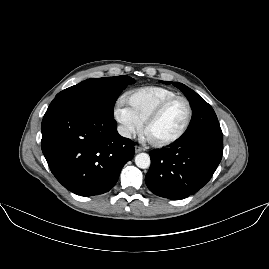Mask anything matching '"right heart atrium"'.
<instances>
[{
  "mask_svg": "<svg viewBox=\"0 0 269 269\" xmlns=\"http://www.w3.org/2000/svg\"><path fill=\"white\" fill-rule=\"evenodd\" d=\"M114 116L121 124L122 133L126 136L137 135L142 131V125L126 106L125 101L119 98L115 103Z\"/></svg>",
  "mask_w": 269,
  "mask_h": 269,
  "instance_id": "right-heart-atrium-1",
  "label": "right heart atrium"
}]
</instances>
